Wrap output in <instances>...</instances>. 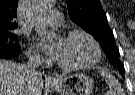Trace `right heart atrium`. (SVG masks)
<instances>
[{
	"label": "right heart atrium",
	"instance_id": "d8ad5b80",
	"mask_svg": "<svg viewBox=\"0 0 135 95\" xmlns=\"http://www.w3.org/2000/svg\"><path fill=\"white\" fill-rule=\"evenodd\" d=\"M28 55L30 58H39V53L34 49H29Z\"/></svg>",
	"mask_w": 135,
	"mask_h": 95
}]
</instances>
